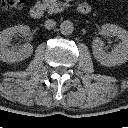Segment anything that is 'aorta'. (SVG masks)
I'll return each instance as SVG.
<instances>
[{"instance_id":"aorta-1","label":"aorta","mask_w":128,"mask_h":128,"mask_svg":"<svg viewBox=\"0 0 128 128\" xmlns=\"http://www.w3.org/2000/svg\"><path fill=\"white\" fill-rule=\"evenodd\" d=\"M60 31L63 35H70L74 31V25L71 21L66 20L60 24Z\"/></svg>"}]
</instances>
